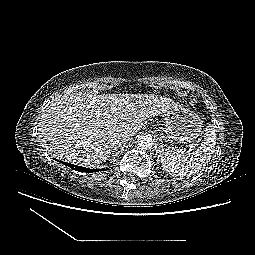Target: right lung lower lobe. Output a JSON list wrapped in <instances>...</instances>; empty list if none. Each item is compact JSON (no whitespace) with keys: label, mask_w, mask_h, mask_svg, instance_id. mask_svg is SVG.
<instances>
[{"label":"right lung lower lobe","mask_w":255,"mask_h":255,"mask_svg":"<svg viewBox=\"0 0 255 255\" xmlns=\"http://www.w3.org/2000/svg\"><path fill=\"white\" fill-rule=\"evenodd\" d=\"M62 163L65 164L66 166L76 170V171H79V172L92 173V172H96V171H104V170H106V169H89V168H85V167L69 164V163H66V162H62Z\"/></svg>","instance_id":"98d812e1"}]
</instances>
